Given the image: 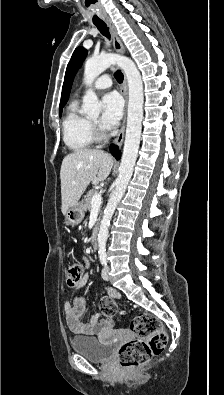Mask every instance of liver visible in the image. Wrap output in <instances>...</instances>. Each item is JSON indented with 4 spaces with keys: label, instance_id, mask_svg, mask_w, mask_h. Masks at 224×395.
Segmentation results:
<instances>
[{
    "label": "liver",
    "instance_id": "obj_1",
    "mask_svg": "<svg viewBox=\"0 0 224 395\" xmlns=\"http://www.w3.org/2000/svg\"><path fill=\"white\" fill-rule=\"evenodd\" d=\"M112 167L111 155L102 150L80 149L66 155L60 170L62 213L79 201L90 183L105 180Z\"/></svg>",
    "mask_w": 224,
    "mask_h": 395
}]
</instances>
